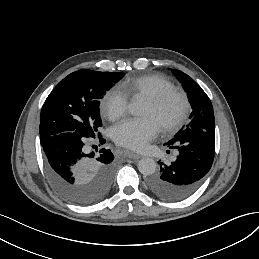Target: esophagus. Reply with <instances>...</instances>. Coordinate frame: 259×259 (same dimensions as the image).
<instances>
[{
  "instance_id": "obj_1",
  "label": "esophagus",
  "mask_w": 259,
  "mask_h": 259,
  "mask_svg": "<svg viewBox=\"0 0 259 259\" xmlns=\"http://www.w3.org/2000/svg\"><path fill=\"white\" fill-rule=\"evenodd\" d=\"M126 155L130 159H139V158H141V155L136 154L135 152H132V151H127Z\"/></svg>"
}]
</instances>
